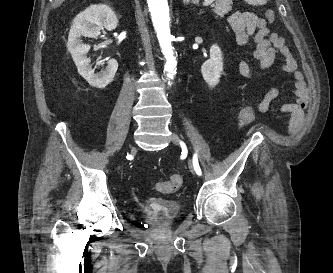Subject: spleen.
Masks as SVG:
<instances>
[{"mask_svg":"<svg viewBox=\"0 0 333 273\" xmlns=\"http://www.w3.org/2000/svg\"><path fill=\"white\" fill-rule=\"evenodd\" d=\"M251 5H264L268 0H244Z\"/></svg>","mask_w":333,"mask_h":273,"instance_id":"spleen-1","label":"spleen"}]
</instances>
